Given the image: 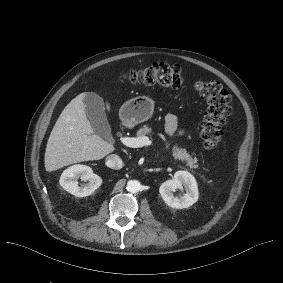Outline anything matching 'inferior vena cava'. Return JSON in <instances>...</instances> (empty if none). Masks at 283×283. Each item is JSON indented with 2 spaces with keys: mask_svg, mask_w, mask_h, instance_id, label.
Wrapping results in <instances>:
<instances>
[{
  "mask_svg": "<svg viewBox=\"0 0 283 283\" xmlns=\"http://www.w3.org/2000/svg\"><path fill=\"white\" fill-rule=\"evenodd\" d=\"M106 165L112 169H120L123 166V162L119 156L112 154L106 158Z\"/></svg>",
  "mask_w": 283,
  "mask_h": 283,
  "instance_id": "602c4592",
  "label": "inferior vena cava"
}]
</instances>
